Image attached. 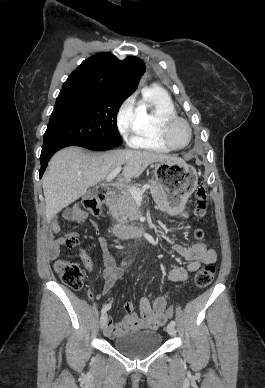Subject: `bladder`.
<instances>
[{
  "label": "bladder",
  "mask_w": 265,
  "mask_h": 388,
  "mask_svg": "<svg viewBox=\"0 0 265 388\" xmlns=\"http://www.w3.org/2000/svg\"><path fill=\"white\" fill-rule=\"evenodd\" d=\"M161 342L162 336L159 331H135L116 337L114 346L117 351L126 356L140 358L147 353L156 351Z\"/></svg>",
  "instance_id": "31cf9c89"
}]
</instances>
